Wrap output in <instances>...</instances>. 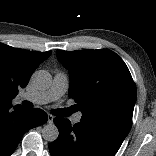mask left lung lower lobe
<instances>
[{
    "label": "left lung lower lobe",
    "mask_w": 156,
    "mask_h": 156,
    "mask_svg": "<svg viewBox=\"0 0 156 156\" xmlns=\"http://www.w3.org/2000/svg\"><path fill=\"white\" fill-rule=\"evenodd\" d=\"M58 138L49 144L51 156H114L127 134L106 124L55 118Z\"/></svg>",
    "instance_id": "0a47b994"
}]
</instances>
